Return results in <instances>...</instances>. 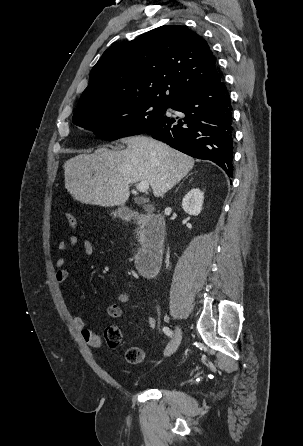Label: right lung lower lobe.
<instances>
[{
  "label": "right lung lower lobe",
  "instance_id": "right-lung-lower-lobe-1",
  "mask_svg": "<svg viewBox=\"0 0 303 446\" xmlns=\"http://www.w3.org/2000/svg\"><path fill=\"white\" fill-rule=\"evenodd\" d=\"M170 108L185 116L164 115L144 132L192 157L213 161L230 177L234 129L224 80L185 93Z\"/></svg>",
  "mask_w": 303,
  "mask_h": 446
}]
</instances>
